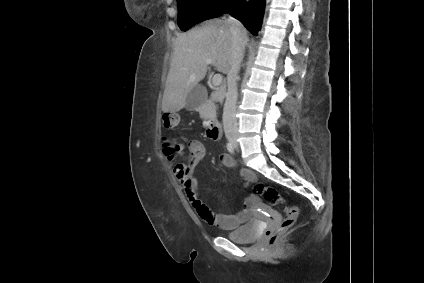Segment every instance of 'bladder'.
I'll list each match as a JSON object with an SVG mask.
<instances>
[{
	"label": "bladder",
	"instance_id": "1",
	"mask_svg": "<svg viewBox=\"0 0 424 283\" xmlns=\"http://www.w3.org/2000/svg\"><path fill=\"white\" fill-rule=\"evenodd\" d=\"M260 222L256 219L250 220L245 225L229 232L227 237L239 244H246L256 240L260 234Z\"/></svg>",
	"mask_w": 424,
	"mask_h": 283
}]
</instances>
